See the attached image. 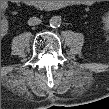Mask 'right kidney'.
<instances>
[{
    "label": "right kidney",
    "instance_id": "right-kidney-1",
    "mask_svg": "<svg viewBox=\"0 0 109 109\" xmlns=\"http://www.w3.org/2000/svg\"><path fill=\"white\" fill-rule=\"evenodd\" d=\"M7 29H8V25L7 24L4 25V23H3L2 24V31H3V33H5L7 31Z\"/></svg>",
    "mask_w": 109,
    "mask_h": 109
}]
</instances>
